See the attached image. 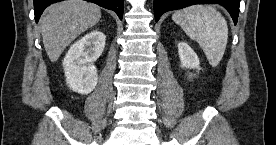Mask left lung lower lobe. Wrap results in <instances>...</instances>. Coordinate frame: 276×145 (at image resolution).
Masks as SVG:
<instances>
[{
    "mask_svg": "<svg viewBox=\"0 0 276 145\" xmlns=\"http://www.w3.org/2000/svg\"><path fill=\"white\" fill-rule=\"evenodd\" d=\"M205 3L222 5L230 13L234 23H237L240 0H154L155 21L157 22L160 16L167 11Z\"/></svg>",
    "mask_w": 276,
    "mask_h": 145,
    "instance_id": "1",
    "label": "left lung lower lobe"
}]
</instances>
